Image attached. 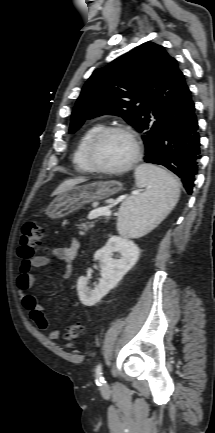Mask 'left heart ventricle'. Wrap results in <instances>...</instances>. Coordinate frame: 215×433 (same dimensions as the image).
<instances>
[{
  "instance_id": "b2bd125f",
  "label": "left heart ventricle",
  "mask_w": 215,
  "mask_h": 433,
  "mask_svg": "<svg viewBox=\"0 0 215 433\" xmlns=\"http://www.w3.org/2000/svg\"><path fill=\"white\" fill-rule=\"evenodd\" d=\"M134 147L131 140L121 133H110L98 141L94 148L95 162L105 168H118L132 157Z\"/></svg>"
}]
</instances>
